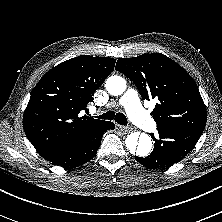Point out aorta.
Returning a JSON list of instances; mask_svg holds the SVG:
<instances>
[{
	"mask_svg": "<svg viewBox=\"0 0 222 222\" xmlns=\"http://www.w3.org/2000/svg\"><path fill=\"white\" fill-rule=\"evenodd\" d=\"M105 87L109 94L118 96L126 90V81L121 76H111L106 80ZM125 144L131 154L139 157L147 156L152 149L151 138L144 133L128 135Z\"/></svg>",
	"mask_w": 222,
	"mask_h": 222,
	"instance_id": "obj_1",
	"label": "aorta"
}]
</instances>
